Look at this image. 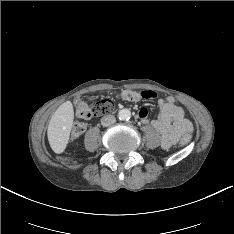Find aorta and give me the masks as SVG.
<instances>
[{
  "label": "aorta",
  "instance_id": "obj_1",
  "mask_svg": "<svg viewBox=\"0 0 234 234\" xmlns=\"http://www.w3.org/2000/svg\"><path fill=\"white\" fill-rule=\"evenodd\" d=\"M118 117L120 120H129L131 117V112L129 109H122L119 111Z\"/></svg>",
  "mask_w": 234,
  "mask_h": 234
}]
</instances>
